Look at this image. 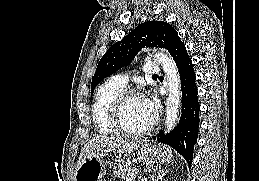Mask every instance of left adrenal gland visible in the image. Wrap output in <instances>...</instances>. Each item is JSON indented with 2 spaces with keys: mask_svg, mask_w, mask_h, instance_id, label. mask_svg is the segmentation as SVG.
<instances>
[{
  "mask_svg": "<svg viewBox=\"0 0 259 181\" xmlns=\"http://www.w3.org/2000/svg\"><path fill=\"white\" fill-rule=\"evenodd\" d=\"M166 171L164 170H157V173L153 174L150 177V181H162L163 177L165 176Z\"/></svg>",
  "mask_w": 259,
  "mask_h": 181,
  "instance_id": "left-adrenal-gland-1",
  "label": "left adrenal gland"
}]
</instances>
